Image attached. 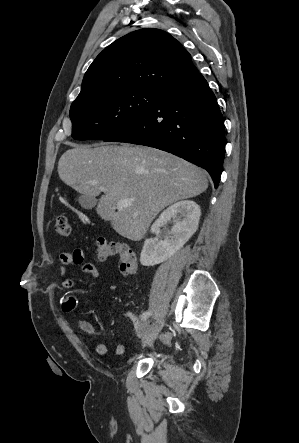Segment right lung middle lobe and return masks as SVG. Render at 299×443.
Listing matches in <instances>:
<instances>
[{
    "instance_id": "right-lung-middle-lobe-1",
    "label": "right lung middle lobe",
    "mask_w": 299,
    "mask_h": 443,
    "mask_svg": "<svg viewBox=\"0 0 299 443\" xmlns=\"http://www.w3.org/2000/svg\"><path fill=\"white\" fill-rule=\"evenodd\" d=\"M161 91L132 88L102 92L72 103V137L105 139L139 119L157 102Z\"/></svg>"
}]
</instances>
